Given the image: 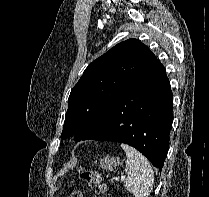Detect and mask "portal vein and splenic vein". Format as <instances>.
I'll list each match as a JSON object with an SVG mask.
<instances>
[{
  "mask_svg": "<svg viewBox=\"0 0 209 197\" xmlns=\"http://www.w3.org/2000/svg\"><path fill=\"white\" fill-rule=\"evenodd\" d=\"M120 178H121V180H124L125 179V176L122 175V176H120Z\"/></svg>",
  "mask_w": 209,
  "mask_h": 197,
  "instance_id": "portal-vein-and-splenic-vein-1",
  "label": "portal vein and splenic vein"
}]
</instances>
